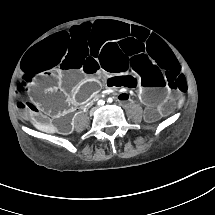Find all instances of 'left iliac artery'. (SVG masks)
<instances>
[{
  "label": "left iliac artery",
  "instance_id": "44dca946",
  "mask_svg": "<svg viewBox=\"0 0 215 215\" xmlns=\"http://www.w3.org/2000/svg\"><path fill=\"white\" fill-rule=\"evenodd\" d=\"M107 102L111 103L112 102V98H109Z\"/></svg>",
  "mask_w": 215,
  "mask_h": 215
}]
</instances>
